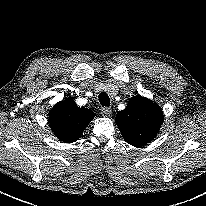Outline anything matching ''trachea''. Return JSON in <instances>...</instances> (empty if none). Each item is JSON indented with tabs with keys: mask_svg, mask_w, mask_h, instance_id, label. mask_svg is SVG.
<instances>
[{
	"mask_svg": "<svg viewBox=\"0 0 206 206\" xmlns=\"http://www.w3.org/2000/svg\"><path fill=\"white\" fill-rule=\"evenodd\" d=\"M98 98L101 105L103 106L110 105V98L105 92L100 93Z\"/></svg>",
	"mask_w": 206,
	"mask_h": 206,
	"instance_id": "3493384b",
	"label": "trachea"
}]
</instances>
